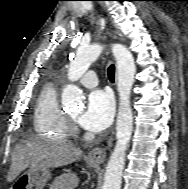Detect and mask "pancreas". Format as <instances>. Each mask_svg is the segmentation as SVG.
Segmentation results:
<instances>
[{
	"mask_svg": "<svg viewBox=\"0 0 188 189\" xmlns=\"http://www.w3.org/2000/svg\"><path fill=\"white\" fill-rule=\"evenodd\" d=\"M62 179V177L57 178L51 185H50V189H58L60 188V180Z\"/></svg>",
	"mask_w": 188,
	"mask_h": 189,
	"instance_id": "1",
	"label": "pancreas"
}]
</instances>
